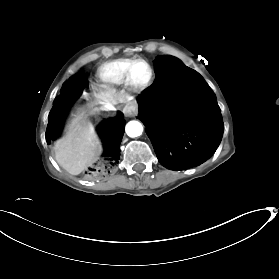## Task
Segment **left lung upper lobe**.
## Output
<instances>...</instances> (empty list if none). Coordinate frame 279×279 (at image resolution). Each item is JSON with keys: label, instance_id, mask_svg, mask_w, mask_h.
<instances>
[{"label": "left lung upper lobe", "instance_id": "left-lung-upper-lobe-1", "mask_svg": "<svg viewBox=\"0 0 279 279\" xmlns=\"http://www.w3.org/2000/svg\"><path fill=\"white\" fill-rule=\"evenodd\" d=\"M169 58H173L175 59V61L183 66H185L181 60H179L178 58H175L173 56H168V55H163V56H158L156 58V60L154 61V65H157L159 63H161L163 60L169 59ZM186 67V66H185ZM173 84V81H168L167 84H162V83H158V81H154V83L148 87L147 91H153L154 93H160L163 92L167 89H169Z\"/></svg>", "mask_w": 279, "mask_h": 279}]
</instances>
